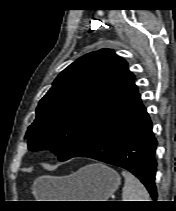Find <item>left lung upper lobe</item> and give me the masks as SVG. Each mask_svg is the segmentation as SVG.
Wrapping results in <instances>:
<instances>
[{
  "label": "left lung upper lobe",
  "mask_w": 176,
  "mask_h": 211,
  "mask_svg": "<svg viewBox=\"0 0 176 211\" xmlns=\"http://www.w3.org/2000/svg\"><path fill=\"white\" fill-rule=\"evenodd\" d=\"M127 62L102 49L77 59L40 100L25 138L31 151L50 148L66 161L113 114L139 97Z\"/></svg>",
  "instance_id": "5c2ea615"
}]
</instances>
